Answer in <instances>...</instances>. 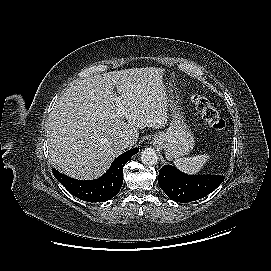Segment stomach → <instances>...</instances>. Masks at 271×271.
<instances>
[{
	"mask_svg": "<svg viewBox=\"0 0 271 271\" xmlns=\"http://www.w3.org/2000/svg\"><path fill=\"white\" fill-rule=\"evenodd\" d=\"M177 98L169 83L167 99L172 121L166 131L157 133L152 138L153 145L163 148L169 160L188 155L195 145L194 135L186 122Z\"/></svg>",
	"mask_w": 271,
	"mask_h": 271,
	"instance_id": "stomach-1",
	"label": "stomach"
}]
</instances>
